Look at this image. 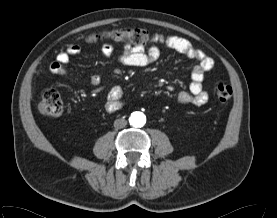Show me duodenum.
<instances>
[{"mask_svg": "<svg viewBox=\"0 0 277 218\" xmlns=\"http://www.w3.org/2000/svg\"><path fill=\"white\" fill-rule=\"evenodd\" d=\"M114 107L117 108V107H118V104H117V103H114Z\"/></svg>", "mask_w": 277, "mask_h": 218, "instance_id": "duodenum-1", "label": "duodenum"}]
</instances>
